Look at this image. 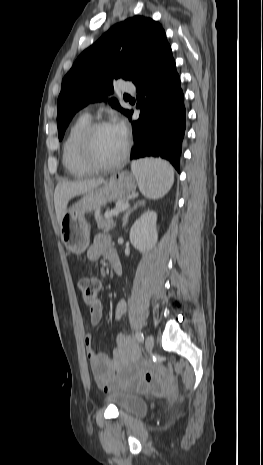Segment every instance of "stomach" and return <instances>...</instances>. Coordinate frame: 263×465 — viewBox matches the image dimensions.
<instances>
[{
  "label": "stomach",
  "instance_id": "1",
  "mask_svg": "<svg viewBox=\"0 0 263 465\" xmlns=\"http://www.w3.org/2000/svg\"><path fill=\"white\" fill-rule=\"evenodd\" d=\"M135 188V177L127 171L114 173L101 187L95 188L70 206L60 222L61 239L69 252L82 254L89 246L90 228L85 214L124 198Z\"/></svg>",
  "mask_w": 263,
  "mask_h": 465
}]
</instances>
